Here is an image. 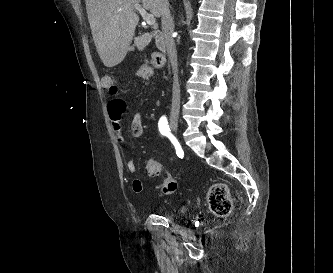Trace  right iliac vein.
Masks as SVG:
<instances>
[{"label": "right iliac vein", "mask_w": 333, "mask_h": 273, "mask_svg": "<svg viewBox=\"0 0 333 273\" xmlns=\"http://www.w3.org/2000/svg\"><path fill=\"white\" fill-rule=\"evenodd\" d=\"M170 124L173 132L177 134L178 127H179V116L177 113L173 112L170 115Z\"/></svg>", "instance_id": "63e3f726"}]
</instances>
